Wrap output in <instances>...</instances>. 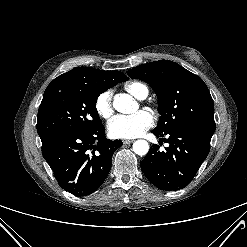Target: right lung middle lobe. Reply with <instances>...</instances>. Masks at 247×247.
<instances>
[{"label":"right lung middle lobe","instance_id":"1","mask_svg":"<svg viewBox=\"0 0 247 247\" xmlns=\"http://www.w3.org/2000/svg\"><path fill=\"white\" fill-rule=\"evenodd\" d=\"M108 88L95 83L72 82L44 93L38 110L41 140L65 132H88L102 126L95 104Z\"/></svg>","mask_w":247,"mask_h":247}]
</instances>
